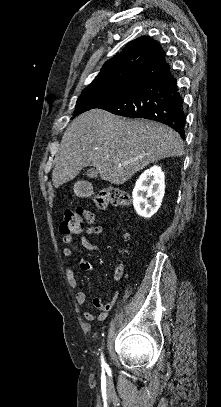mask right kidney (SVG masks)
<instances>
[{"label": "right kidney", "mask_w": 221, "mask_h": 407, "mask_svg": "<svg viewBox=\"0 0 221 407\" xmlns=\"http://www.w3.org/2000/svg\"><path fill=\"white\" fill-rule=\"evenodd\" d=\"M164 179L161 167L156 165L145 170L137 179L132 197L139 216L150 218L158 211L165 193Z\"/></svg>", "instance_id": "right-kidney-1"}]
</instances>
